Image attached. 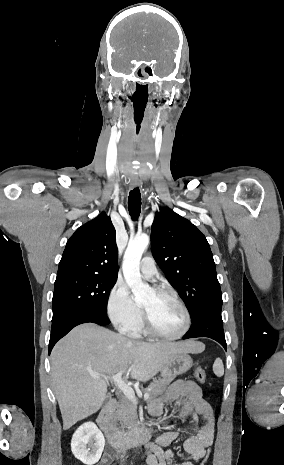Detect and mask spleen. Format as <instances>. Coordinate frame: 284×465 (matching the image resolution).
Masks as SVG:
<instances>
[{"instance_id":"1","label":"spleen","mask_w":284,"mask_h":465,"mask_svg":"<svg viewBox=\"0 0 284 465\" xmlns=\"http://www.w3.org/2000/svg\"><path fill=\"white\" fill-rule=\"evenodd\" d=\"M213 373H214V375H216V377H223V375H224V365H223L221 359H216V361H214Z\"/></svg>"}]
</instances>
